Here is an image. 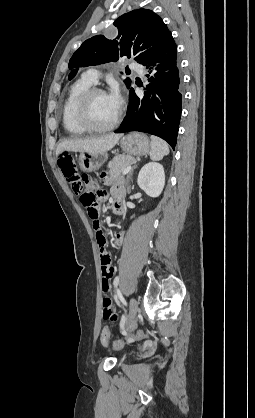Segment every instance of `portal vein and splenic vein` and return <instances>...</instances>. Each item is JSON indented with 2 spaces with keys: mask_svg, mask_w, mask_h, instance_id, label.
Masks as SVG:
<instances>
[{
  "mask_svg": "<svg viewBox=\"0 0 255 418\" xmlns=\"http://www.w3.org/2000/svg\"><path fill=\"white\" fill-rule=\"evenodd\" d=\"M131 168V166H128L126 169H124L123 175L127 174L131 170Z\"/></svg>",
  "mask_w": 255,
  "mask_h": 418,
  "instance_id": "portal-vein-and-splenic-vein-1",
  "label": "portal vein and splenic vein"
}]
</instances>
